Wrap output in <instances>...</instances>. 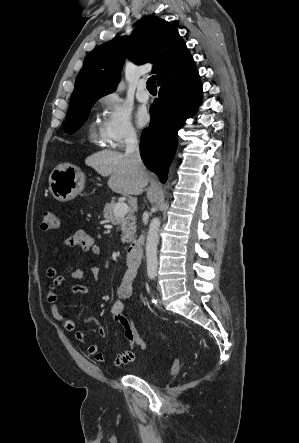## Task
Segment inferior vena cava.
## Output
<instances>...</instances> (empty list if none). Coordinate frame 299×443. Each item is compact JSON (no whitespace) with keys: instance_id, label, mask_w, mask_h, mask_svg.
Wrapping results in <instances>:
<instances>
[{"instance_id":"602c4592","label":"inferior vena cava","mask_w":299,"mask_h":443,"mask_svg":"<svg viewBox=\"0 0 299 443\" xmlns=\"http://www.w3.org/2000/svg\"><path fill=\"white\" fill-rule=\"evenodd\" d=\"M125 143H126V155L131 159L134 165L141 169L143 168V163L141 161L140 153H139V145L137 140L136 132L133 129H129L125 135Z\"/></svg>"}]
</instances>
